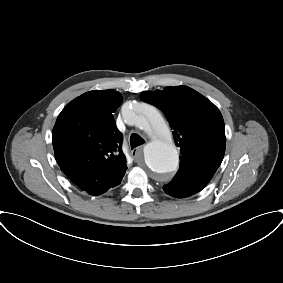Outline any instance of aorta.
<instances>
[{"mask_svg":"<svg viewBox=\"0 0 283 283\" xmlns=\"http://www.w3.org/2000/svg\"><path fill=\"white\" fill-rule=\"evenodd\" d=\"M123 117L127 124L151 136V142L144 147L145 163L149 170L158 175L175 171L179 154L159 111L151 105L137 103L126 106Z\"/></svg>","mask_w":283,"mask_h":283,"instance_id":"762f6f07","label":"aorta"}]
</instances>
